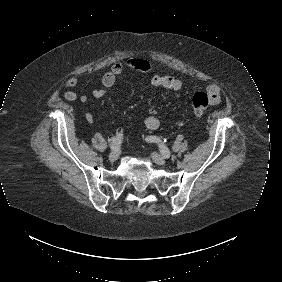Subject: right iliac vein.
<instances>
[{
  "label": "right iliac vein",
  "mask_w": 282,
  "mask_h": 282,
  "mask_svg": "<svg viewBox=\"0 0 282 282\" xmlns=\"http://www.w3.org/2000/svg\"><path fill=\"white\" fill-rule=\"evenodd\" d=\"M118 157H119V154H118V152H116V151H113V152H111V153L109 154V160H110L111 162L116 161V160L118 159Z\"/></svg>",
  "instance_id": "obj_1"
}]
</instances>
